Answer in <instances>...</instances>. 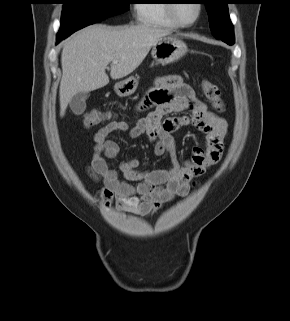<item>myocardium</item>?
Segmentation results:
<instances>
[{
    "mask_svg": "<svg viewBox=\"0 0 290 321\" xmlns=\"http://www.w3.org/2000/svg\"><path fill=\"white\" fill-rule=\"evenodd\" d=\"M175 0H169L167 3V9H168V13L171 17V19L178 25L181 27H190L192 25H194L195 23H197V21L200 19L201 15H202V11H203V5L202 3H200L199 1H195L196 6H197V15L196 17L190 21V22H185L183 20H181L178 15L176 14V4L174 2Z\"/></svg>",
    "mask_w": 290,
    "mask_h": 321,
    "instance_id": "1",
    "label": "myocardium"
}]
</instances>
